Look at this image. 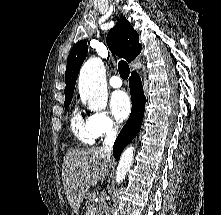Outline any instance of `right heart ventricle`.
<instances>
[{
  "mask_svg": "<svg viewBox=\"0 0 221 215\" xmlns=\"http://www.w3.org/2000/svg\"><path fill=\"white\" fill-rule=\"evenodd\" d=\"M71 129L75 137L84 144H93L95 138L91 135L87 121L83 119L78 110L71 117Z\"/></svg>",
  "mask_w": 221,
  "mask_h": 215,
  "instance_id": "obj_1",
  "label": "right heart ventricle"
}]
</instances>
